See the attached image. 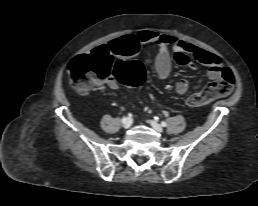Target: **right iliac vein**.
Wrapping results in <instances>:
<instances>
[{
  "mask_svg": "<svg viewBox=\"0 0 258 206\" xmlns=\"http://www.w3.org/2000/svg\"><path fill=\"white\" fill-rule=\"evenodd\" d=\"M131 125H132V119L128 117V118L125 120V122L123 123V127L127 129V128H129Z\"/></svg>",
  "mask_w": 258,
  "mask_h": 206,
  "instance_id": "63e3f726",
  "label": "right iliac vein"
}]
</instances>
